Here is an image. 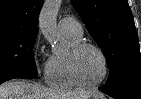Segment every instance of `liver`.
Instances as JSON below:
<instances>
[{"mask_svg":"<svg viewBox=\"0 0 141 99\" xmlns=\"http://www.w3.org/2000/svg\"><path fill=\"white\" fill-rule=\"evenodd\" d=\"M105 99L96 90L60 92L27 80H14L0 86V99Z\"/></svg>","mask_w":141,"mask_h":99,"instance_id":"6515ba94","label":"liver"}]
</instances>
